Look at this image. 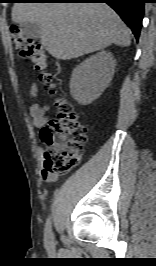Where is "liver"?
I'll return each instance as SVG.
<instances>
[{
  "mask_svg": "<svg viewBox=\"0 0 156 266\" xmlns=\"http://www.w3.org/2000/svg\"><path fill=\"white\" fill-rule=\"evenodd\" d=\"M12 21L37 23L41 44L61 60L131 43L130 30L105 3H15Z\"/></svg>",
  "mask_w": 156,
  "mask_h": 266,
  "instance_id": "1",
  "label": "liver"
}]
</instances>
